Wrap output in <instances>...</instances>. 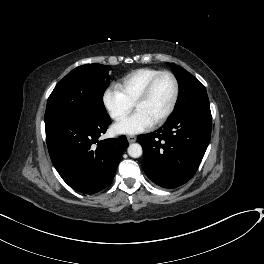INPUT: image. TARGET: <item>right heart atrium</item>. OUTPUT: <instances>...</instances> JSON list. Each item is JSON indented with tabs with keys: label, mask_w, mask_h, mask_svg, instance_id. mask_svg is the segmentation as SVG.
<instances>
[{
	"label": "right heart atrium",
	"mask_w": 264,
	"mask_h": 264,
	"mask_svg": "<svg viewBox=\"0 0 264 264\" xmlns=\"http://www.w3.org/2000/svg\"><path fill=\"white\" fill-rule=\"evenodd\" d=\"M103 104L111 118L116 121L123 119L133 108V103L116 86L106 89L103 94Z\"/></svg>",
	"instance_id": "right-heart-atrium-1"
}]
</instances>
